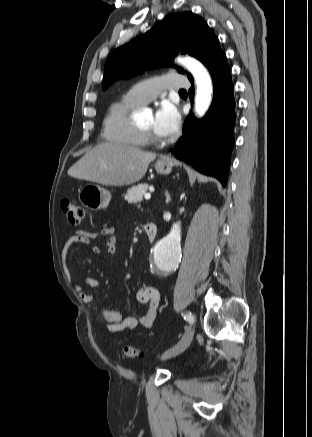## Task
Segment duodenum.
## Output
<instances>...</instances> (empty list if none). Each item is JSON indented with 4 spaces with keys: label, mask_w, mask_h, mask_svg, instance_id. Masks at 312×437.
Returning <instances> with one entry per match:
<instances>
[{
    "label": "duodenum",
    "mask_w": 312,
    "mask_h": 437,
    "mask_svg": "<svg viewBox=\"0 0 312 437\" xmlns=\"http://www.w3.org/2000/svg\"><path fill=\"white\" fill-rule=\"evenodd\" d=\"M144 230H145L147 242L151 244L157 236V227L155 223L152 221L145 222Z\"/></svg>",
    "instance_id": "obj_1"
}]
</instances>
